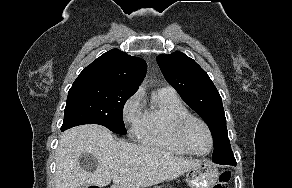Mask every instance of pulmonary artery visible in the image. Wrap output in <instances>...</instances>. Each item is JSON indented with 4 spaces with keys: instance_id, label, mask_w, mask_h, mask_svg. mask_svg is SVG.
<instances>
[{
    "instance_id": "obj_1",
    "label": "pulmonary artery",
    "mask_w": 292,
    "mask_h": 188,
    "mask_svg": "<svg viewBox=\"0 0 292 188\" xmlns=\"http://www.w3.org/2000/svg\"><path fill=\"white\" fill-rule=\"evenodd\" d=\"M164 89L174 91L171 87H165Z\"/></svg>"
}]
</instances>
